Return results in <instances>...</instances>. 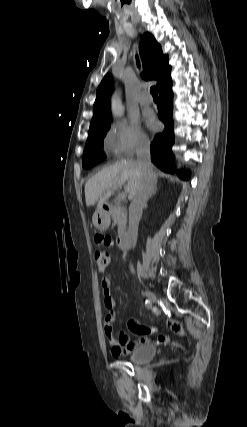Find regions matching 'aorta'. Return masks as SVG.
Wrapping results in <instances>:
<instances>
[{"label":"aorta","instance_id":"1","mask_svg":"<svg viewBox=\"0 0 247 427\" xmlns=\"http://www.w3.org/2000/svg\"><path fill=\"white\" fill-rule=\"evenodd\" d=\"M112 111L115 117L122 118L123 117V108L120 102V93L116 92L113 96V105Z\"/></svg>","mask_w":247,"mask_h":427}]
</instances>
